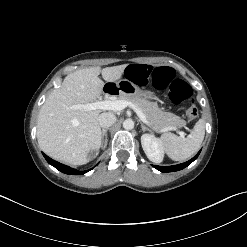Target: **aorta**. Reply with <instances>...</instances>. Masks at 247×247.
Segmentation results:
<instances>
[{
	"label": "aorta",
	"instance_id": "aorta-1",
	"mask_svg": "<svg viewBox=\"0 0 247 247\" xmlns=\"http://www.w3.org/2000/svg\"><path fill=\"white\" fill-rule=\"evenodd\" d=\"M123 128L126 130H131L134 128V121L132 119H126L123 122Z\"/></svg>",
	"mask_w": 247,
	"mask_h": 247
}]
</instances>
